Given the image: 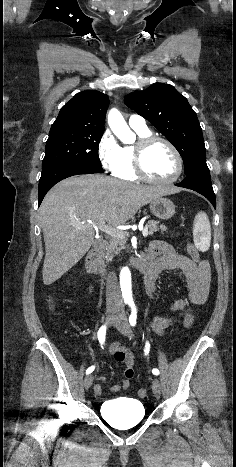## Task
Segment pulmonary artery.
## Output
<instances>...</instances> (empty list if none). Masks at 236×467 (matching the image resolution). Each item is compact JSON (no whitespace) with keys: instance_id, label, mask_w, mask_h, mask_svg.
<instances>
[{"instance_id":"pulmonary-artery-1","label":"pulmonary artery","mask_w":236,"mask_h":467,"mask_svg":"<svg viewBox=\"0 0 236 467\" xmlns=\"http://www.w3.org/2000/svg\"><path fill=\"white\" fill-rule=\"evenodd\" d=\"M128 122H129V125L133 129H139V130H147L148 129V126L146 124L145 119L140 115H137V114L131 115L129 117Z\"/></svg>"}]
</instances>
